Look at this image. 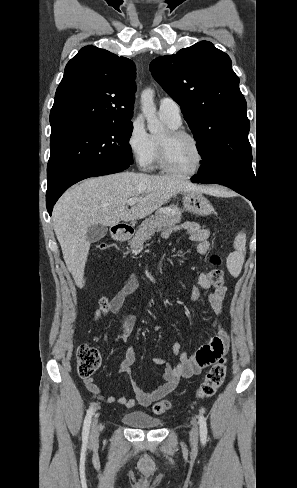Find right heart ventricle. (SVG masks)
<instances>
[{
  "instance_id": "e07e8e85",
  "label": "right heart ventricle",
  "mask_w": 297,
  "mask_h": 488,
  "mask_svg": "<svg viewBox=\"0 0 297 488\" xmlns=\"http://www.w3.org/2000/svg\"><path fill=\"white\" fill-rule=\"evenodd\" d=\"M165 122L172 129L177 128V126H174V125L170 124L167 121H165ZM152 141H153V151H152V155H151V158H150V161H149L148 164L154 166V165H157L158 164V140L152 138Z\"/></svg>"
}]
</instances>
